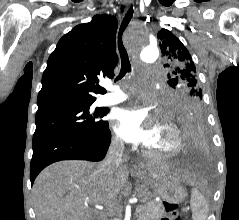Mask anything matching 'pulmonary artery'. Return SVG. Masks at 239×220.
<instances>
[{"mask_svg":"<svg viewBox=\"0 0 239 220\" xmlns=\"http://www.w3.org/2000/svg\"><path fill=\"white\" fill-rule=\"evenodd\" d=\"M108 90L110 92L102 99V103L105 105L117 104L129 98V94L125 93L119 85L109 84Z\"/></svg>","mask_w":239,"mask_h":220,"instance_id":"obj_1","label":"pulmonary artery"}]
</instances>
